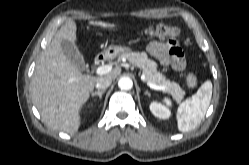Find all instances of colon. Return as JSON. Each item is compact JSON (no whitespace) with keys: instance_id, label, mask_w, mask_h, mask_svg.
Segmentation results:
<instances>
[{"instance_id":"1","label":"colon","mask_w":249,"mask_h":165,"mask_svg":"<svg viewBox=\"0 0 249 165\" xmlns=\"http://www.w3.org/2000/svg\"><path fill=\"white\" fill-rule=\"evenodd\" d=\"M143 34L146 37H149V38L170 37L173 40L174 39H182L185 44H189V40L184 39L182 37L180 29L178 27H176V26H168V25H165V24H158L156 26L146 28L143 31ZM186 80H187L188 86L191 87V88H194L197 85V82H198L197 77H196V75L194 73H189L187 75Z\"/></svg>"}]
</instances>
